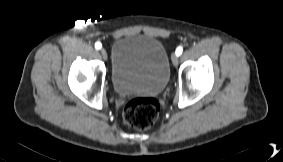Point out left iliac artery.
<instances>
[{"instance_id":"obj_1","label":"left iliac artery","mask_w":283,"mask_h":162,"mask_svg":"<svg viewBox=\"0 0 283 162\" xmlns=\"http://www.w3.org/2000/svg\"><path fill=\"white\" fill-rule=\"evenodd\" d=\"M183 48L181 46L177 47L176 49V55L180 56L182 54Z\"/></svg>"}]
</instances>
